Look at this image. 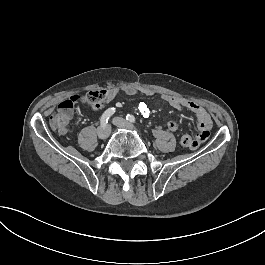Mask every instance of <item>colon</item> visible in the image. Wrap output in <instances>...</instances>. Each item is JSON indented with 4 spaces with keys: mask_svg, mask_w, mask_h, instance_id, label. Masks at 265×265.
Here are the masks:
<instances>
[{
    "mask_svg": "<svg viewBox=\"0 0 265 265\" xmlns=\"http://www.w3.org/2000/svg\"><path fill=\"white\" fill-rule=\"evenodd\" d=\"M77 100L88 106L91 110L97 111L102 109L110 101V94L106 90H90L79 97L72 94L62 103L60 109L51 116L50 122L53 128L61 129L62 133H65L64 126L67 122L66 112L72 110ZM191 142V135H184L181 138V144L184 147L191 148Z\"/></svg>",
    "mask_w": 265,
    "mask_h": 265,
    "instance_id": "1",
    "label": "colon"
}]
</instances>
